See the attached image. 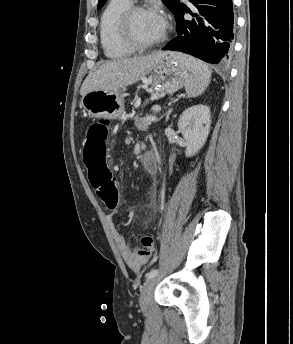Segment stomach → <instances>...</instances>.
I'll use <instances>...</instances> for the list:
<instances>
[{
	"instance_id": "1",
	"label": "stomach",
	"mask_w": 293,
	"mask_h": 344,
	"mask_svg": "<svg viewBox=\"0 0 293 344\" xmlns=\"http://www.w3.org/2000/svg\"><path fill=\"white\" fill-rule=\"evenodd\" d=\"M189 77L190 70L169 54L160 59L141 80L156 92L172 94L181 89ZM123 92V89L91 91L82 97L81 104L93 118L121 119L124 116Z\"/></svg>"
}]
</instances>
